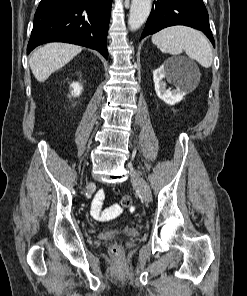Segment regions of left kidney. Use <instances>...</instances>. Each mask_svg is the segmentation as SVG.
Returning <instances> with one entry per match:
<instances>
[{
	"label": "left kidney",
	"instance_id": "1",
	"mask_svg": "<svg viewBox=\"0 0 247 296\" xmlns=\"http://www.w3.org/2000/svg\"><path fill=\"white\" fill-rule=\"evenodd\" d=\"M174 83L177 88L166 89L164 78ZM153 80L157 96L169 105H175L186 95L188 89L195 88L197 79L181 59H168L153 71Z\"/></svg>",
	"mask_w": 247,
	"mask_h": 296
}]
</instances>
